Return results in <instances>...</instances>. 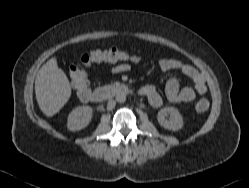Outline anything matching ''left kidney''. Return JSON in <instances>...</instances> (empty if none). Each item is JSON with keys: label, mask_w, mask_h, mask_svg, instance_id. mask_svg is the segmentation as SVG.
Wrapping results in <instances>:
<instances>
[{"label": "left kidney", "mask_w": 249, "mask_h": 188, "mask_svg": "<svg viewBox=\"0 0 249 188\" xmlns=\"http://www.w3.org/2000/svg\"><path fill=\"white\" fill-rule=\"evenodd\" d=\"M170 115V118L166 117ZM157 120L159 124L167 129L172 131H177L183 127V119L178 109L174 107H165L162 108L157 115Z\"/></svg>", "instance_id": "1"}]
</instances>
